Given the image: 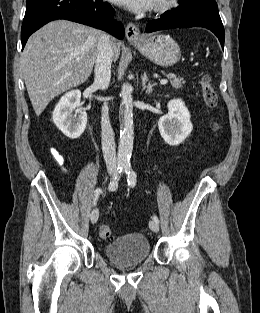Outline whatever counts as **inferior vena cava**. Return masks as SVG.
Masks as SVG:
<instances>
[{
  "label": "inferior vena cava",
  "instance_id": "obj_1",
  "mask_svg": "<svg viewBox=\"0 0 260 313\" xmlns=\"http://www.w3.org/2000/svg\"><path fill=\"white\" fill-rule=\"evenodd\" d=\"M113 60V50L110 36L106 33L101 34L95 61L94 84L100 89H107L111 79V64ZM102 129V151L107 167H116L117 157L113 130L111 128L108 115V106L104 103L101 117Z\"/></svg>",
  "mask_w": 260,
  "mask_h": 313
}]
</instances>
